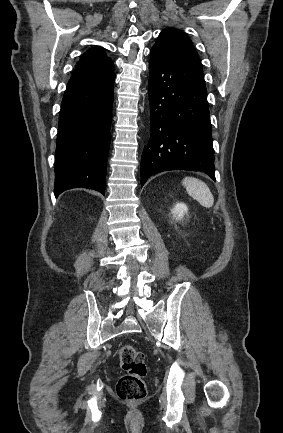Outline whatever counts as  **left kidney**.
Returning a JSON list of instances; mask_svg holds the SVG:
<instances>
[{"mask_svg":"<svg viewBox=\"0 0 283 433\" xmlns=\"http://www.w3.org/2000/svg\"><path fill=\"white\" fill-rule=\"evenodd\" d=\"M188 212V207L186 204L179 202L174 206L172 213L177 220H181L185 214Z\"/></svg>","mask_w":283,"mask_h":433,"instance_id":"left-kidney-1","label":"left kidney"}]
</instances>
